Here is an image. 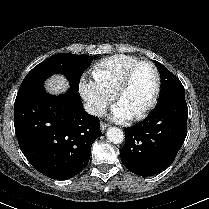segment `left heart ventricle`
I'll return each mask as SVG.
<instances>
[{"label": "left heart ventricle", "instance_id": "obj_1", "mask_svg": "<svg viewBox=\"0 0 209 209\" xmlns=\"http://www.w3.org/2000/svg\"><path fill=\"white\" fill-rule=\"evenodd\" d=\"M154 86L153 70L149 65L143 64L135 71L130 85L122 93L118 103L134 115L148 104Z\"/></svg>", "mask_w": 209, "mask_h": 209}]
</instances>
